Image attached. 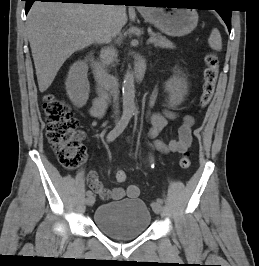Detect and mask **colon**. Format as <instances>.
Segmentation results:
<instances>
[{
  "instance_id": "colon-1",
  "label": "colon",
  "mask_w": 259,
  "mask_h": 266,
  "mask_svg": "<svg viewBox=\"0 0 259 266\" xmlns=\"http://www.w3.org/2000/svg\"><path fill=\"white\" fill-rule=\"evenodd\" d=\"M203 85L199 105L205 108L210 103L219 74L218 57L213 52L205 56ZM43 112L46 121V137L52 146L58 162L66 169L77 168L85 159V147L82 144L84 133L78 129V120L71 112L69 105L53 94L43 98ZM191 160L188 153L179 159L183 169L189 168ZM116 181L125 182L126 172L119 170L115 174Z\"/></svg>"
}]
</instances>
